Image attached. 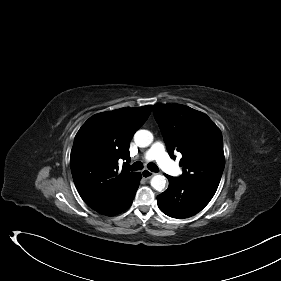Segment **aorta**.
<instances>
[{"mask_svg":"<svg viewBox=\"0 0 281 281\" xmlns=\"http://www.w3.org/2000/svg\"><path fill=\"white\" fill-rule=\"evenodd\" d=\"M134 141L139 147H147L153 142V134L148 130H138L134 135ZM166 185V178L163 175H155L151 179V186L161 192Z\"/></svg>","mask_w":281,"mask_h":281,"instance_id":"1","label":"aorta"}]
</instances>
